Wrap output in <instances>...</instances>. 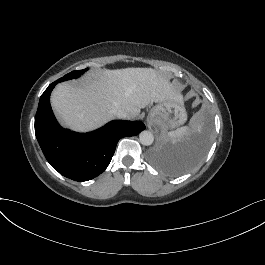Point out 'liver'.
<instances>
[{
    "label": "liver",
    "mask_w": 265,
    "mask_h": 265,
    "mask_svg": "<svg viewBox=\"0 0 265 265\" xmlns=\"http://www.w3.org/2000/svg\"><path fill=\"white\" fill-rule=\"evenodd\" d=\"M85 88L59 84L51 101L66 126L88 130L114 117L116 109H124L133 119L140 109L165 101L182 104L168 82L152 69L102 71L85 78Z\"/></svg>",
    "instance_id": "obj_1"
}]
</instances>
